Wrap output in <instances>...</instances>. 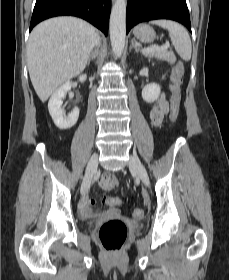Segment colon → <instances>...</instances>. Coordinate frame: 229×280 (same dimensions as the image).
<instances>
[{
	"label": "colon",
	"mask_w": 229,
	"mask_h": 280,
	"mask_svg": "<svg viewBox=\"0 0 229 280\" xmlns=\"http://www.w3.org/2000/svg\"><path fill=\"white\" fill-rule=\"evenodd\" d=\"M184 75L183 68L180 65H176L172 72L171 78V110L169 114V120L171 123H175L178 119L181 105V95L179 86ZM119 182V179L111 174H106L101 180V186L105 189H111L115 187ZM116 205L121 204L120 199L115 200ZM144 212L136 208L134 210V216L142 217ZM99 240L104 248L109 252H119L127 239V227L126 224L119 219H112L105 222L98 232Z\"/></svg>",
	"instance_id": "obj_1"
}]
</instances>
